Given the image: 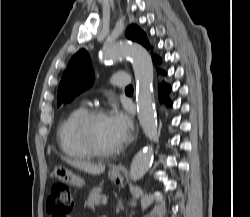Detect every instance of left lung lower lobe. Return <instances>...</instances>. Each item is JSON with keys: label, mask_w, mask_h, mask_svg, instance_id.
<instances>
[{"label": "left lung lower lobe", "mask_w": 250, "mask_h": 217, "mask_svg": "<svg viewBox=\"0 0 250 217\" xmlns=\"http://www.w3.org/2000/svg\"><path fill=\"white\" fill-rule=\"evenodd\" d=\"M153 62L154 64H156V62L160 63L161 59L157 56H152ZM170 91V86L166 85L165 83H163L161 86H159V99L160 101L162 100V93L164 94L165 97V101L168 105H170V102L168 101L166 94Z\"/></svg>", "instance_id": "left-lung-lower-lobe-1"}]
</instances>
